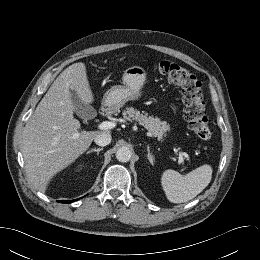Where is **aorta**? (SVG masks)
Wrapping results in <instances>:
<instances>
[{"instance_id": "aorta-1", "label": "aorta", "mask_w": 260, "mask_h": 260, "mask_svg": "<svg viewBox=\"0 0 260 260\" xmlns=\"http://www.w3.org/2000/svg\"><path fill=\"white\" fill-rule=\"evenodd\" d=\"M132 157V151L128 146L119 147L116 152V158L119 162H128Z\"/></svg>"}]
</instances>
